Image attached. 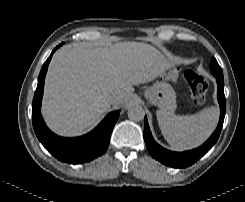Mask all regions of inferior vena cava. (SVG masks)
Here are the masks:
<instances>
[{"label":"inferior vena cava","mask_w":245,"mask_h":202,"mask_svg":"<svg viewBox=\"0 0 245 202\" xmlns=\"http://www.w3.org/2000/svg\"><path fill=\"white\" fill-rule=\"evenodd\" d=\"M117 100H118V97L116 95H112L109 97V102L111 104H115L117 102Z\"/></svg>","instance_id":"602c4592"}]
</instances>
